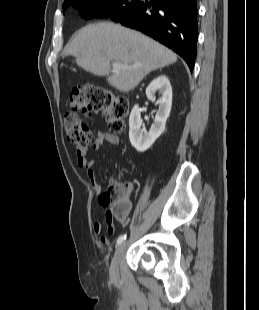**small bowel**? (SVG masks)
I'll return each instance as SVG.
<instances>
[{
  "label": "small bowel",
  "instance_id": "c3829d8e",
  "mask_svg": "<svg viewBox=\"0 0 259 310\" xmlns=\"http://www.w3.org/2000/svg\"><path fill=\"white\" fill-rule=\"evenodd\" d=\"M118 142H119L118 136H116L114 134L99 131V132H97V134L94 138L92 147L95 150H98L105 143L118 144ZM87 151H88V149L86 147H77L76 151H75L76 162L80 168H82L86 171V175L88 177V180L90 182L92 190L97 195L101 192L102 188H101V185L99 184V182L97 180V176H96V173H95L94 168H93L94 167V161L89 160L87 158ZM126 187H127L129 194H130L133 190L132 184H130V183L126 184ZM105 219H106V223L108 226V233L113 234L114 233V226H113L112 217L110 215L105 214ZM127 223H128L127 218L122 220V225H126ZM93 231L95 234L100 235L102 233V224L99 222H95L93 224ZM100 241L103 244H107L108 238L105 236H101Z\"/></svg>",
  "mask_w": 259,
  "mask_h": 310
}]
</instances>
